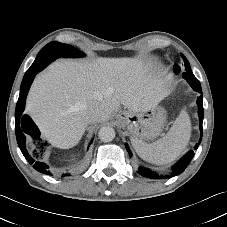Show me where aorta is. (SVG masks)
Returning a JSON list of instances; mask_svg holds the SVG:
<instances>
[{"instance_id":"obj_1","label":"aorta","mask_w":227,"mask_h":227,"mask_svg":"<svg viewBox=\"0 0 227 227\" xmlns=\"http://www.w3.org/2000/svg\"><path fill=\"white\" fill-rule=\"evenodd\" d=\"M98 137L102 142H111L115 138V130L110 126H103L98 132Z\"/></svg>"}]
</instances>
